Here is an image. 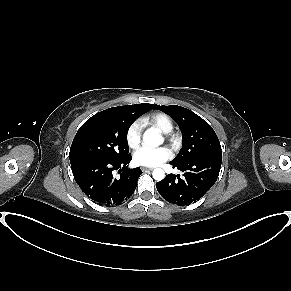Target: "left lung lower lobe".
I'll list each match as a JSON object with an SVG mask.
<instances>
[{
  "label": "left lung lower lobe",
  "instance_id": "obj_1",
  "mask_svg": "<svg viewBox=\"0 0 291 291\" xmlns=\"http://www.w3.org/2000/svg\"><path fill=\"white\" fill-rule=\"evenodd\" d=\"M222 163V154L194 157L181 163L170 162L182 171L183 178L167 175L156 183L160 195L168 202L188 205L199 200L216 182Z\"/></svg>",
  "mask_w": 291,
  "mask_h": 291
}]
</instances>
